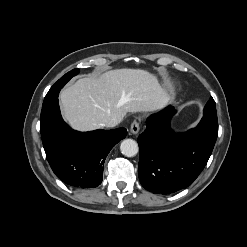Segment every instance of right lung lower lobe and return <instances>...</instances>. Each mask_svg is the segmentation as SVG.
Listing matches in <instances>:
<instances>
[{"instance_id": "right-lung-lower-lobe-1", "label": "right lung lower lobe", "mask_w": 247, "mask_h": 247, "mask_svg": "<svg viewBox=\"0 0 247 247\" xmlns=\"http://www.w3.org/2000/svg\"><path fill=\"white\" fill-rule=\"evenodd\" d=\"M40 132L53 172L63 182L80 188L100 185L106 156L127 135L125 128L72 130L61 117L57 98L42 107Z\"/></svg>"}]
</instances>
